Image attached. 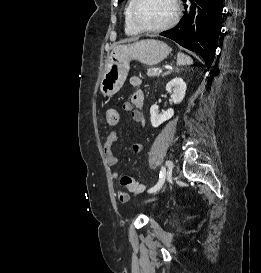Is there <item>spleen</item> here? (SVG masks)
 Wrapping results in <instances>:
<instances>
[{
  "label": "spleen",
  "mask_w": 261,
  "mask_h": 273,
  "mask_svg": "<svg viewBox=\"0 0 261 273\" xmlns=\"http://www.w3.org/2000/svg\"><path fill=\"white\" fill-rule=\"evenodd\" d=\"M192 64H193V60L191 59V57L181 52L178 53L177 65L182 66V65H192Z\"/></svg>",
  "instance_id": "3e777b00"
}]
</instances>
